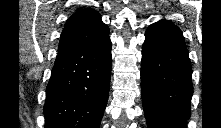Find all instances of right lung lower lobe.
<instances>
[{
	"label": "right lung lower lobe",
	"mask_w": 221,
	"mask_h": 128,
	"mask_svg": "<svg viewBox=\"0 0 221 128\" xmlns=\"http://www.w3.org/2000/svg\"><path fill=\"white\" fill-rule=\"evenodd\" d=\"M111 41L58 49L46 88L45 128H99L111 79Z\"/></svg>",
	"instance_id": "obj_1"
}]
</instances>
